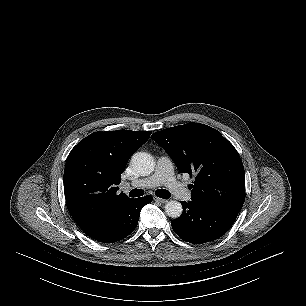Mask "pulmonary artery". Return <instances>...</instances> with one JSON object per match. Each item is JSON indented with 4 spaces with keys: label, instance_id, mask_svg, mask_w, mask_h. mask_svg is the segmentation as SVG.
Instances as JSON below:
<instances>
[{
    "label": "pulmonary artery",
    "instance_id": "obj_1",
    "mask_svg": "<svg viewBox=\"0 0 306 306\" xmlns=\"http://www.w3.org/2000/svg\"><path fill=\"white\" fill-rule=\"evenodd\" d=\"M161 184H164L177 199L191 200L190 191L175 178L172 162L167 156H161L158 159L155 172L151 176L125 183L124 186L153 188Z\"/></svg>",
    "mask_w": 306,
    "mask_h": 306
}]
</instances>
